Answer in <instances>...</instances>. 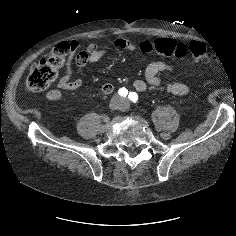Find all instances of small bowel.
I'll return each instance as SVG.
<instances>
[{
	"instance_id": "obj_1",
	"label": "small bowel",
	"mask_w": 236,
	"mask_h": 236,
	"mask_svg": "<svg viewBox=\"0 0 236 236\" xmlns=\"http://www.w3.org/2000/svg\"><path fill=\"white\" fill-rule=\"evenodd\" d=\"M149 41V40H146ZM146 41L142 42L140 49ZM74 52H76L73 67H82L91 65L99 61L107 54L106 49L99 48L95 43H89L84 46L80 41L73 40L69 44ZM115 46L123 50H134L136 44L131 39L118 38L115 41ZM121 69H127V66H121ZM163 72L175 73L176 69L165 62L157 61L150 63L144 72L145 79H136L132 82V86L140 91H146L149 86L154 88H164L167 92L174 95H186L189 92V87L181 82H172L163 84L159 75ZM84 85L80 79H71L70 70H68L58 83V88L51 89L47 92V98L52 101L59 100L62 97V91H73L82 88ZM114 86L111 83H105L102 86V92L109 95L113 92Z\"/></svg>"
}]
</instances>
